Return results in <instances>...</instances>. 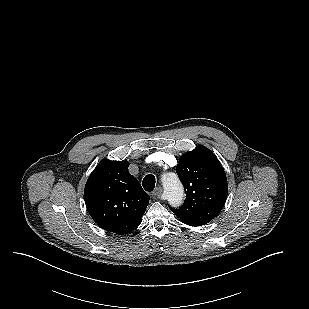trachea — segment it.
Listing matches in <instances>:
<instances>
[{"label": "trachea", "mask_w": 309, "mask_h": 309, "mask_svg": "<svg viewBox=\"0 0 309 309\" xmlns=\"http://www.w3.org/2000/svg\"><path fill=\"white\" fill-rule=\"evenodd\" d=\"M143 188L146 191H153L155 187V177L152 174H148L144 177L143 182H142Z\"/></svg>", "instance_id": "1"}]
</instances>
